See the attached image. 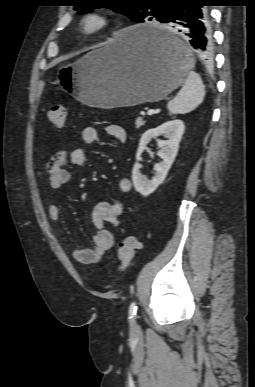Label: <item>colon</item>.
<instances>
[{
    "mask_svg": "<svg viewBox=\"0 0 255 387\" xmlns=\"http://www.w3.org/2000/svg\"><path fill=\"white\" fill-rule=\"evenodd\" d=\"M47 118L52 125L61 128L66 123L67 110L63 105H55L47 112ZM139 245V241L134 236H126L120 241L117 249L119 260L117 272L123 271L130 265Z\"/></svg>",
    "mask_w": 255,
    "mask_h": 387,
    "instance_id": "1",
    "label": "colon"
}]
</instances>
